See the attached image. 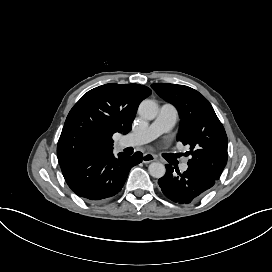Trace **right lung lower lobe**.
I'll return each instance as SVG.
<instances>
[{"label":"right lung lower lobe","mask_w":272,"mask_h":272,"mask_svg":"<svg viewBox=\"0 0 272 272\" xmlns=\"http://www.w3.org/2000/svg\"><path fill=\"white\" fill-rule=\"evenodd\" d=\"M142 154L133 156L112 152L94 153L60 164L71 190L86 201H105L122 189L130 169L139 164Z\"/></svg>","instance_id":"right-lung-lower-lobe-1"}]
</instances>
